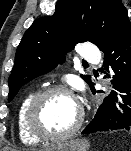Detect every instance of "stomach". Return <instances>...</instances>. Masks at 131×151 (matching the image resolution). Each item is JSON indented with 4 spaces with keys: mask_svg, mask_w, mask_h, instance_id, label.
<instances>
[{
    "mask_svg": "<svg viewBox=\"0 0 131 151\" xmlns=\"http://www.w3.org/2000/svg\"><path fill=\"white\" fill-rule=\"evenodd\" d=\"M90 144L85 139H71L54 145L45 151H89Z\"/></svg>",
    "mask_w": 131,
    "mask_h": 151,
    "instance_id": "obj_1",
    "label": "stomach"
}]
</instances>
